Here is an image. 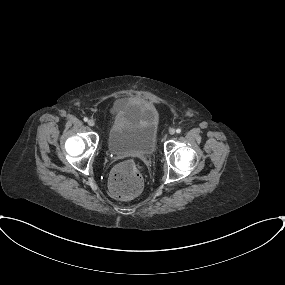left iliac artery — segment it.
<instances>
[{"label": "left iliac artery", "mask_w": 285, "mask_h": 285, "mask_svg": "<svg viewBox=\"0 0 285 285\" xmlns=\"http://www.w3.org/2000/svg\"><path fill=\"white\" fill-rule=\"evenodd\" d=\"M176 132L181 133V129L180 128L176 129Z\"/></svg>", "instance_id": "1"}]
</instances>
